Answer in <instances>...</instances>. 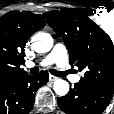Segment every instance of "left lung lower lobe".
<instances>
[{"instance_id": "obj_1", "label": "left lung lower lobe", "mask_w": 114, "mask_h": 114, "mask_svg": "<svg viewBox=\"0 0 114 114\" xmlns=\"http://www.w3.org/2000/svg\"><path fill=\"white\" fill-rule=\"evenodd\" d=\"M114 89L79 81L70 92L57 99L66 114H101L109 105Z\"/></svg>"}]
</instances>
